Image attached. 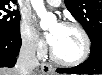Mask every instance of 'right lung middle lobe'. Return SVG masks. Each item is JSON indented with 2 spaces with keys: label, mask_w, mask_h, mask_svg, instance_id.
<instances>
[{
  "label": "right lung middle lobe",
  "mask_w": 102,
  "mask_h": 75,
  "mask_svg": "<svg viewBox=\"0 0 102 75\" xmlns=\"http://www.w3.org/2000/svg\"><path fill=\"white\" fill-rule=\"evenodd\" d=\"M10 9L9 2H0V33L16 34L20 32V14Z\"/></svg>",
  "instance_id": "1"
}]
</instances>
